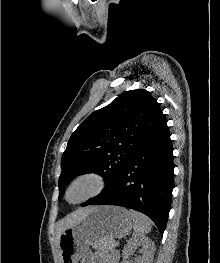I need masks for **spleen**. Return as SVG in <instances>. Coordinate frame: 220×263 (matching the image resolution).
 <instances>
[{"mask_svg": "<svg viewBox=\"0 0 220 263\" xmlns=\"http://www.w3.org/2000/svg\"><path fill=\"white\" fill-rule=\"evenodd\" d=\"M130 215L133 219L134 230L139 235L148 234L151 231L152 223L143 214L130 210Z\"/></svg>", "mask_w": 220, "mask_h": 263, "instance_id": "1", "label": "spleen"}]
</instances>
